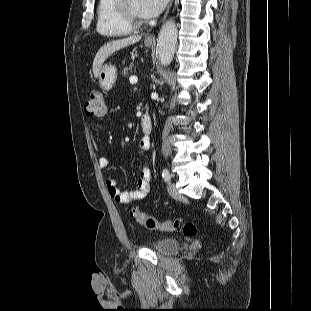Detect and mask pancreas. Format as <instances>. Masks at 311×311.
Returning a JSON list of instances; mask_svg holds the SVG:
<instances>
[{
    "mask_svg": "<svg viewBox=\"0 0 311 311\" xmlns=\"http://www.w3.org/2000/svg\"><path fill=\"white\" fill-rule=\"evenodd\" d=\"M134 69V65L131 63L129 66H125L122 70V75L127 76Z\"/></svg>",
    "mask_w": 311,
    "mask_h": 311,
    "instance_id": "cf45deb5",
    "label": "pancreas"
}]
</instances>
